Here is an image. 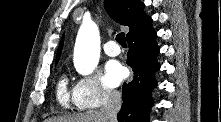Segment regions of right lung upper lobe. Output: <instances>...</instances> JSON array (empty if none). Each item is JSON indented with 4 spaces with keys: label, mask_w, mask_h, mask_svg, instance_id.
I'll list each match as a JSON object with an SVG mask.
<instances>
[{
    "label": "right lung upper lobe",
    "mask_w": 221,
    "mask_h": 122,
    "mask_svg": "<svg viewBox=\"0 0 221 122\" xmlns=\"http://www.w3.org/2000/svg\"><path fill=\"white\" fill-rule=\"evenodd\" d=\"M105 8L116 22L130 28L126 36L127 39L142 32L152 21L144 13V4L140 0H106ZM62 46L63 41H61L57 51L56 63L59 60Z\"/></svg>",
    "instance_id": "obj_1"
}]
</instances>
